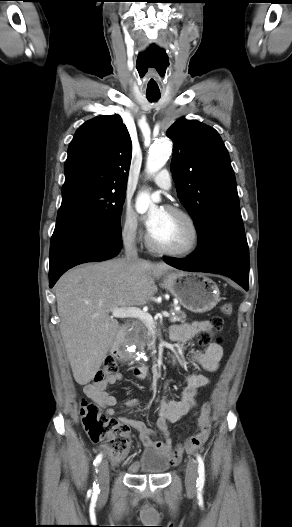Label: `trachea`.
I'll use <instances>...</instances> for the list:
<instances>
[{"label": "trachea", "instance_id": "3493384b", "mask_svg": "<svg viewBox=\"0 0 292 527\" xmlns=\"http://www.w3.org/2000/svg\"><path fill=\"white\" fill-rule=\"evenodd\" d=\"M147 99L150 101V102H156L160 99V95H155V94H147Z\"/></svg>", "mask_w": 292, "mask_h": 527}]
</instances>
